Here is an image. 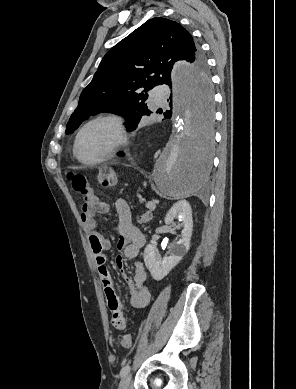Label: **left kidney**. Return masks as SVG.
Here are the masks:
<instances>
[{
    "mask_svg": "<svg viewBox=\"0 0 296 389\" xmlns=\"http://www.w3.org/2000/svg\"><path fill=\"white\" fill-rule=\"evenodd\" d=\"M178 219L183 227L181 238L170 246V255L160 256L155 245L144 250V262L154 280L160 281L182 260L190 247L193 230L192 209L186 200L176 202L165 216V223L171 225Z\"/></svg>",
    "mask_w": 296,
    "mask_h": 389,
    "instance_id": "obj_1",
    "label": "left kidney"
}]
</instances>
